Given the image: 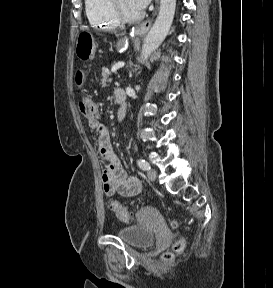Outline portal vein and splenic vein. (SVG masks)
<instances>
[{
	"mask_svg": "<svg viewBox=\"0 0 273 288\" xmlns=\"http://www.w3.org/2000/svg\"><path fill=\"white\" fill-rule=\"evenodd\" d=\"M124 65H125L124 62H120V63L115 64V65L112 67V72H115L117 69L124 67Z\"/></svg>",
	"mask_w": 273,
	"mask_h": 288,
	"instance_id": "18ae733b",
	"label": "portal vein and splenic vein"
}]
</instances>
